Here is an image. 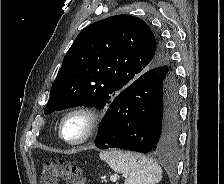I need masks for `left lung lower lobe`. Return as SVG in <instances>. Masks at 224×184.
<instances>
[{"label":"left lung lower lobe","mask_w":224,"mask_h":184,"mask_svg":"<svg viewBox=\"0 0 224 184\" xmlns=\"http://www.w3.org/2000/svg\"><path fill=\"white\" fill-rule=\"evenodd\" d=\"M170 66L154 67L110 103L95 145L141 153L172 151L179 133L178 85Z\"/></svg>","instance_id":"0a47b994"}]
</instances>
